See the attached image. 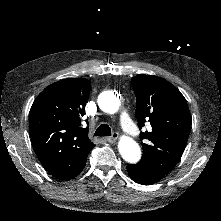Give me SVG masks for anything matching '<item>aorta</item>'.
<instances>
[{
	"label": "aorta",
	"instance_id": "1",
	"mask_svg": "<svg viewBox=\"0 0 221 221\" xmlns=\"http://www.w3.org/2000/svg\"><path fill=\"white\" fill-rule=\"evenodd\" d=\"M119 106L120 101L113 92H106L99 97V107L106 113H116ZM118 149L122 158L128 163H137L141 158L139 145L130 137H121L118 143Z\"/></svg>",
	"mask_w": 221,
	"mask_h": 221
}]
</instances>
